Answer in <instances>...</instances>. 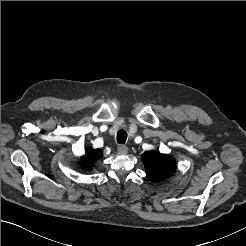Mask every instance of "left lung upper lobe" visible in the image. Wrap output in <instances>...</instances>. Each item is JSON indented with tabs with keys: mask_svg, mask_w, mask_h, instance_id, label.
<instances>
[{
	"mask_svg": "<svg viewBox=\"0 0 246 246\" xmlns=\"http://www.w3.org/2000/svg\"><path fill=\"white\" fill-rule=\"evenodd\" d=\"M146 174L152 181H163L174 174L177 168L175 159L171 156L156 152L142 155Z\"/></svg>",
	"mask_w": 246,
	"mask_h": 246,
	"instance_id": "left-lung-upper-lobe-1",
	"label": "left lung upper lobe"
}]
</instances>
